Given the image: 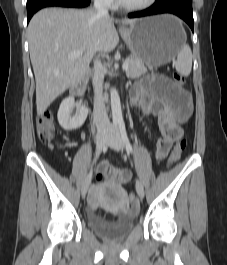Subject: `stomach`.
<instances>
[{
  "instance_id": "0dacf381",
  "label": "stomach",
  "mask_w": 227,
  "mask_h": 265,
  "mask_svg": "<svg viewBox=\"0 0 227 265\" xmlns=\"http://www.w3.org/2000/svg\"><path fill=\"white\" fill-rule=\"evenodd\" d=\"M120 33L134 57L151 66L173 60L186 42L181 21L170 14L139 19Z\"/></svg>"
}]
</instances>
